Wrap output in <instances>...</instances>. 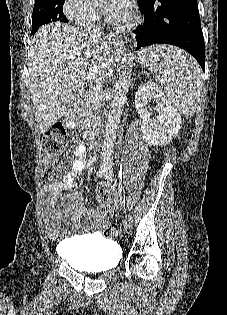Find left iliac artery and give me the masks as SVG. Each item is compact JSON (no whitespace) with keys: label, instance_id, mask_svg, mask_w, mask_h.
<instances>
[{"label":"left iliac artery","instance_id":"1","mask_svg":"<svg viewBox=\"0 0 227 315\" xmlns=\"http://www.w3.org/2000/svg\"><path fill=\"white\" fill-rule=\"evenodd\" d=\"M105 177H106L107 180L112 181L113 177H114L113 171L111 169L107 170L106 173H105ZM125 205H126L127 212H130L131 209L133 208V201H132V199L128 198L126 203H125Z\"/></svg>","mask_w":227,"mask_h":315}]
</instances>
